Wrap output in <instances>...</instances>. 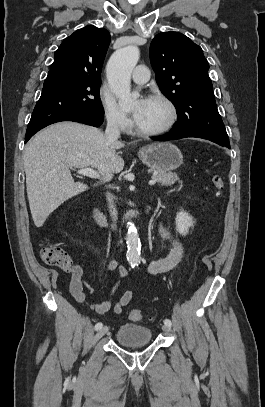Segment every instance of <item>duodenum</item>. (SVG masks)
<instances>
[{"label": "duodenum", "instance_id": "410a0bca", "mask_svg": "<svg viewBox=\"0 0 265 407\" xmlns=\"http://www.w3.org/2000/svg\"><path fill=\"white\" fill-rule=\"evenodd\" d=\"M151 206L146 205L143 209L141 210H134L131 211L128 215V220H135V219H140L147 215L150 212ZM92 217L93 220L101 227H111L114 228L115 225L111 223L107 217L97 208H94L92 210Z\"/></svg>", "mask_w": 265, "mask_h": 407}]
</instances>
